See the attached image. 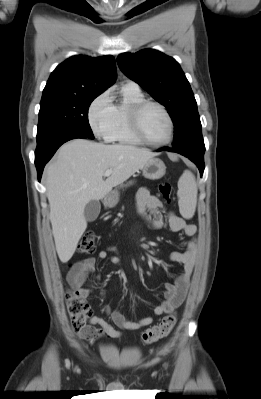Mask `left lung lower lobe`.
Instances as JSON below:
<instances>
[{"label": "left lung lower lobe", "instance_id": "0a47b994", "mask_svg": "<svg viewBox=\"0 0 261 399\" xmlns=\"http://www.w3.org/2000/svg\"><path fill=\"white\" fill-rule=\"evenodd\" d=\"M157 151L176 152V153L186 156L187 158H189L191 161H193L197 165V167L200 171V176H202L203 171H204L205 149H194V148L176 149V148L164 147Z\"/></svg>", "mask_w": 261, "mask_h": 399}]
</instances>
